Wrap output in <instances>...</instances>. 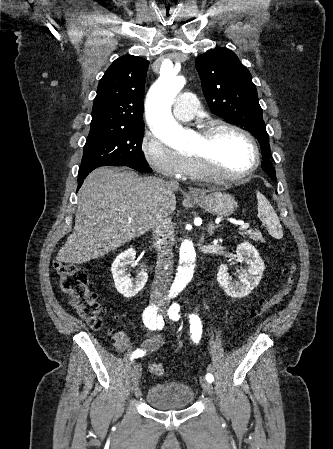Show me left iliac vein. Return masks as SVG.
Returning <instances> with one entry per match:
<instances>
[{
    "label": "left iliac vein",
    "instance_id": "left-iliac-vein-1",
    "mask_svg": "<svg viewBox=\"0 0 333 449\" xmlns=\"http://www.w3.org/2000/svg\"><path fill=\"white\" fill-rule=\"evenodd\" d=\"M163 314L165 313V309H162ZM200 385L202 387V389L207 392L208 394H212L213 393V387L212 384L210 382H208L206 380V378L201 377L200 378Z\"/></svg>",
    "mask_w": 333,
    "mask_h": 449
}]
</instances>
